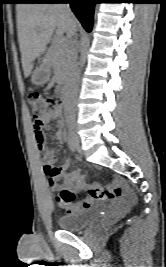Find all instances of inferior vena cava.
Segmentation results:
<instances>
[{
	"instance_id": "obj_1",
	"label": "inferior vena cava",
	"mask_w": 166,
	"mask_h": 267,
	"mask_svg": "<svg viewBox=\"0 0 166 267\" xmlns=\"http://www.w3.org/2000/svg\"><path fill=\"white\" fill-rule=\"evenodd\" d=\"M61 7L65 11L68 18L70 19V17L73 14L71 12L69 4L62 3ZM75 34H76V28L70 23L69 29L67 31V37L69 39V54H68L69 86L72 91L70 100H74V94L77 91L78 77H79V69H78V63H77V44H76Z\"/></svg>"
}]
</instances>
